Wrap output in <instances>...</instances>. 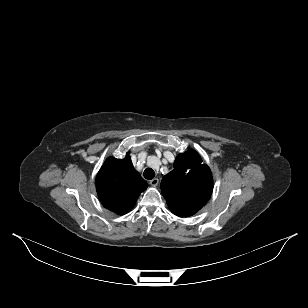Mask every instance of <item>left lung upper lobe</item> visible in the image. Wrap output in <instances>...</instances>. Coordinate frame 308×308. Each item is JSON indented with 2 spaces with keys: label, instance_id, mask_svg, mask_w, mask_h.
<instances>
[{
  "label": "left lung upper lobe",
  "instance_id": "left-lung-upper-lobe-1",
  "mask_svg": "<svg viewBox=\"0 0 308 308\" xmlns=\"http://www.w3.org/2000/svg\"><path fill=\"white\" fill-rule=\"evenodd\" d=\"M212 190L210 169L192 149L177 156L174 169L161 181V192L168 207L179 217H189L199 211L210 199Z\"/></svg>",
  "mask_w": 308,
  "mask_h": 308
}]
</instances>
